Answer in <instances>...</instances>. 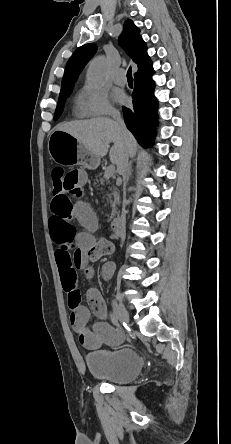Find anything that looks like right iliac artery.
Listing matches in <instances>:
<instances>
[{"label":"right iliac artery","mask_w":231,"mask_h":444,"mask_svg":"<svg viewBox=\"0 0 231 444\" xmlns=\"http://www.w3.org/2000/svg\"><path fill=\"white\" fill-rule=\"evenodd\" d=\"M113 305L116 306V302L115 301H113ZM118 319H119V314H118V311L116 310L114 312V315H113V318H112V322H113L114 325L118 324Z\"/></svg>","instance_id":"obj_1"}]
</instances>
